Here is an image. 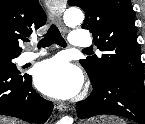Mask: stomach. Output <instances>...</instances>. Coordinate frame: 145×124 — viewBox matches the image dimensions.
Instances as JSON below:
<instances>
[{
    "label": "stomach",
    "instance_id": "obj_1",
    "mask_svg": "<svg viewBox=\"0 0 145 124\" xmlns=\"http://www.w3.org/2000/svg\"><path fill=\"white\" fill-rule=\"evenodd\" d=\"M83 124H125V123H124V121H122L121 119L116 118V117L103 116V117H99L97 119L90 120Z\"/></svg>",
    "mask_w": 145,
    "mask_h": 124
}]
</instances>
